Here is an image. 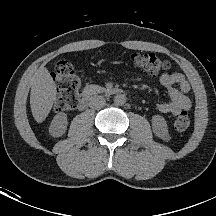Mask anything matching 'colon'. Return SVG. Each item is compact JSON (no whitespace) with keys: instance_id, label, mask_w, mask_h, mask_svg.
<instances>
[{"instance_id":"5ec220e1","label":"colon","mask_w":216,"mask_h":216,"mask_svg":"<svg viewBox=\"0 0 216 216\" xmlns=\"http://www.w3.org/2000/svg\"><path fill=\"white\" fill-rule=\"evenodd\" d=\"M132 65L150 74L157 75L169 69L168 61L154 53H133L130 56ZM53 78L59 86V95L56 101V109L69 111L76 108L81 87L80 77L74 72L73 67L67 61H61L56 65ZM190 125V118L186 112L179 114L174 122L177 131H184Z\"/></svg>"}]
</instances>
